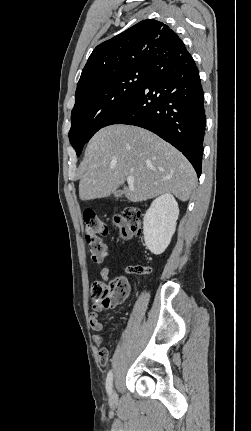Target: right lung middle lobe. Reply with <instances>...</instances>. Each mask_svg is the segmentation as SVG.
I'll use <instances>...</instances> for the list:
<instances>
[{"label":"right lung middle lobe","mask_w":251,"mask_h":431,"mask_svg":"<svg viewBox=\"0 0 251 431\" xmlns=\"http://www.w3.org/2000/svg\"><path fill=\"white\" fill-rule=\"evenodd\" d=\"M147 68H133L75 94L69 140L77 156L106 121L142 86Z\"/></svg>","instance_id":"right-lung-middle-lobe-1"}]
</instances>
